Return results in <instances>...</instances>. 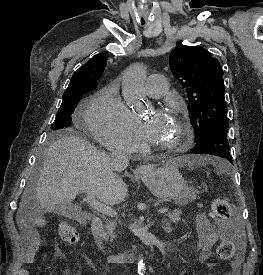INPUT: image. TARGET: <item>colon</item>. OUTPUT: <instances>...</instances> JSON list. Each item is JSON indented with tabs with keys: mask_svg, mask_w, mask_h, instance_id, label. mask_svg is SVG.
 <instances>
[{
	"mask_svg": "<svg viewBox=\"0 0 263 275\" xmlns=\"http://www.w3.org/2000/svg\"><path fill=\"white\" fill-rule=\"evenodd\" d=\"M232 215L230 203L225 198H217L212 203L211 216L220 223L229 221ZM58 232L61 239L70 245L77 243L79 239L78 231L69 223L61 222L58 226ZM235 252L234 244L227 238H222L218 241L216 249L217 256L222 261H230ZM231 275V274H229Z\"/></svg>",
	"mask_w": 263,
	"mask_h": 275,
	"instance_id": "obj_1",
	"label": "colon"
}]
</instances>
